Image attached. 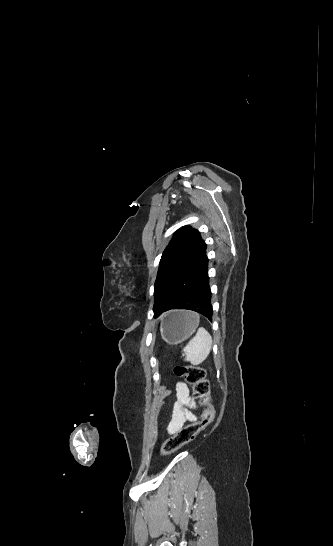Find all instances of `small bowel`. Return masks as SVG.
<instances>
[{"mask_svg":"<svg viewBox=\"0 0 333 546\" xmlns=\"http://www.w3.org/2000/svg\"><path fill=\"white\" fill-rule=\"evenodd\" d=\"M176 402L173 406L171 420L168 424L167 431L169 434L176 433L187 422L196 420V416L192 412L196 404L190 399L189 389L183 382L176 384Z\"/></svg>","mask_w":333,"mask_h":546,"instance_id":"obj_1","label":"small bowel"}]
</instances>
